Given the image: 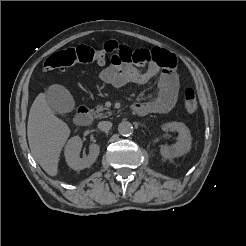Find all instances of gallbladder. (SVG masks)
Wrapping results in <instances>:
<instances>
[{
  "mask_svg": "<svg viewBox=\"0 0 246 246\" xmlns=\"http://www.w3.org/2000/svg\"><path fill=\"white\" fill-rule=\"evenodd\" d=\"M45 97L51 110L55 113L65 114L74 110L75 102L70 92L62 85L50 86Z\"/></svg>",
  "mask_w": 246,
  "mask_h": 246,
  "instance_id": "gallbladder-1",
  "label": "gallbladder"
}]
</instances>
